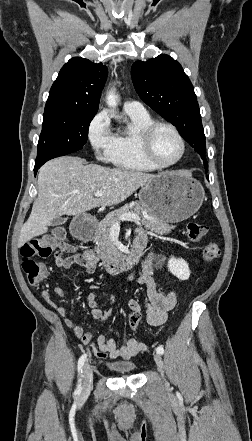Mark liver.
I'll list each match as a JSON object with an SVG mask.
<instances>
[{
    "label": "liver",
    "mask_w": 252,
    "mask_h": 441,
    "mask_svg": "<svg viewBox=\"0 0 252 441\" xmlns=\"http://www.w3.org/2000/svg\"><path fill=\"white\" fill-rule=\"evenodd\" d=\"M154 177L139 171L85 164L79 157L64 156L46 162L38 173V196L21 228L18 247L46 233L54 218L117 205ZM96 191H103L102 196L95 198Z\"/></svg>",
    "instance_id": "6515ba94"
}]
</instances>
